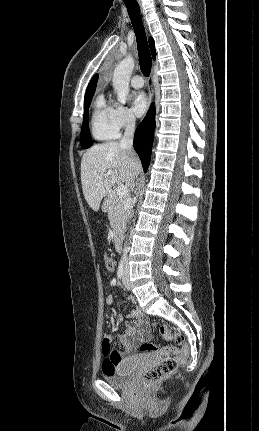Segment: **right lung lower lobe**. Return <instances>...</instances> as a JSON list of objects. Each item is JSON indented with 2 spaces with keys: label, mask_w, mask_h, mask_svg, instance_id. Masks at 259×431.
I'll list each match as a JSON object with an SVG mask.
<instances>
[{
  "label": "right lung lower lobe",
  "mask_w": 259,
  "mask_h": 431,
  "mask_svg": "<svg viewBox=\"0 0 259 431\" xmlns=\"http://www.w3.org/2000/svg\"><path fill=\"white\" fill-rule=\"evenodd\" d=\"M154 128L155 111L152 108L139 124L134 135V149L141 159L144 172L147 171L151 158Z\"/></svg>",
  "instance_id": "98d812e1"
}]
</instances>
